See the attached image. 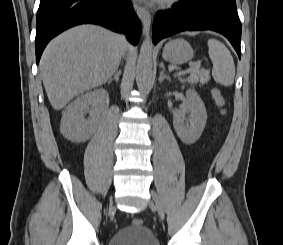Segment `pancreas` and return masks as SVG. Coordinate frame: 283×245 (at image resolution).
I'll list each match as a JSON object with an SVG mask.
<instances>
[{"label":"pancreas","mask_w":283,"mask_h":245,"mask_svg":"<svg viewBox=\"0 0 283 245\" xmlns=\"http://www.w3.org/2000/svg\"><path fill=\"white\" fill-rule=\"evenodd\" d=\"M190 75L188 77V81L191 84H205L210 80L209 71L208 70H193L189 72Z\"/></svg>","instance_id":"cf45deb5"}]
</instances>
